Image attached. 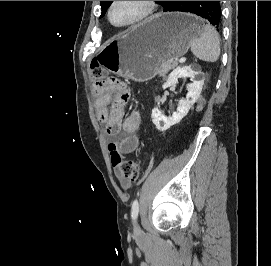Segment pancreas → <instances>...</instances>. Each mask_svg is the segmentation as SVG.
Wrapping results in <instances>:
<instances>
[{
  "mask_svg": "<svg viewBox=\"0 0 271 266\" xmlns=\"http://www.w3.org/2000/svg\"><path fill=\"white\" fill-rule=\"evenodd\" d=\"M176 65H177V61H167V62H164V63H162V65H161V67H160V70H159L158 74H159L160 76H165L166 73H167L169 70L175 68Z\"/></svg>",
  "mask_w": 271,
  "mask_h": 266,
  "instance_id": "1",
  "label": "pancreas"
}]
</instances>
